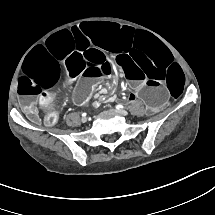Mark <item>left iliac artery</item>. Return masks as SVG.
<instances>
[{
    "instance_id": "obj_1",
    "label": "left iliac artery",
    "mask_w": 215,
    "mask_h": 215,
    "mask_svg": "<svg viewBox=\"0 0 215 215\" xmlns=\"http://www.w3.org/2000/svg\"><path fill=\"white\" fill-rule=\"evenodd\" d=\"M116 108H117V109H122L123 106H122V105H117Z\"/></svg>"
}]
</instances>
